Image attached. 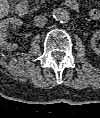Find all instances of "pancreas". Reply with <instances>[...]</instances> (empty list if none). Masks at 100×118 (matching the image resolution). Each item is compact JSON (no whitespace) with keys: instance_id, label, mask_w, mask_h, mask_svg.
<instances>
[{"instance_id":"pancreas-1","label":"pancreas","mask_w":100,"mask_h":118,"mask_svg":"<svg viewBox=\"0 0 100 118\" xmlns=\"http://www.w3.org/2000/svg\"><path fill=\"white\" fill-rule=\"evenodd\" d=\"M45 1H46V0H40L39 3H40V4H43ZM39 7H40V6L37 5L34 9L37 10Z\"/></svg>"}]
</instances>
